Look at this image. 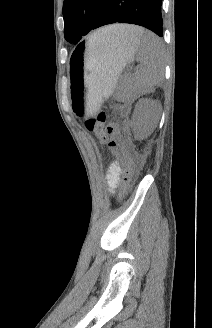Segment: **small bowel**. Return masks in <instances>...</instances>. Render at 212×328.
<instances>
[{
  "mask_svg": "<svg viewBox=\"0 0 212 328\" xmlns=\"http://www.w3.org/2000/svg\"><path fill=\"white\" fill-rule=\"evenodd\" d=\"M122 173L123 168L119 162L115 161L109 166L106 180L111 192L115 191V189L120 185Z\"/></svg>",
  "mask_w": 212,
  "mask_h": 328,
  "instance_id": "small-bowel-1",
  "label": "small bowel"
}]
</instances>
